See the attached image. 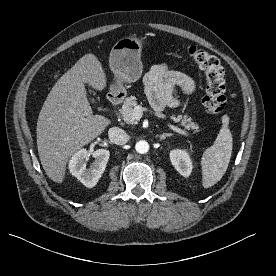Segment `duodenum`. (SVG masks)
<instances>
[{"instance_id": "1", "label": "duodenum", "mask_w": 276, "mask_h": 276, "mask_svg": "<svg viewBox=\"0 0 276 276\" xmlns=\"http://www.w3.org/2000/svg\"><path fill=\"white\" fill-rule=\"evenodd\" d=\"M108 101L112 107H117L123 101V96L121 94H112L109 96Z\"/></svg>"}]
</instances>
